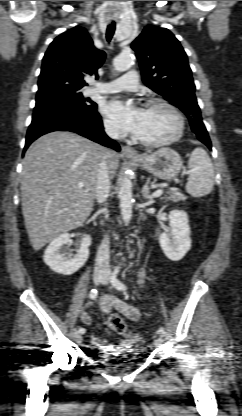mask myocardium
I'll list each match as a JSON object with an SVG mask.
<instances>
[{
    "label": "myocardium",
    "mask_w": 242,
    "mask_h": 416,
    "mask_svg": "<svg viewBox=\"0 0 242 416\" xmlns=\"http://www.w3.org/2000/svg\"><path fill=\"white\" fill-rule=\"evenodd\" d=\"M154 107L166 108L174 115L176 122H177V127H176L174 134L170 136L169 138H166L160 141H147V140L137 137L136 135L133 136V139L139 144L146 146V147H150V148H158V147L166 146L179 140L181 136L183 135L184 128H185L184 117L182 113L180 112V110L172 103L162 100V99H153V100H150L146 104V108H154Z\"/></svg>",
    "instance_id": "1"
}]
</instances>
